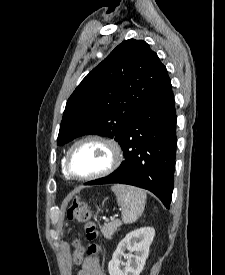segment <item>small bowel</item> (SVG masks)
<instances>
[{
	"instance_id": "1",
	"label": "small bowel",
	"mask_w": 225,
	"mask_h": 275,
	"mask_svg": "<svg viewBox=\"0 0 225 275\" xmlns=\"http://www.w3.org/2000/svg\"><path fill=\"white\" fill-rule=\"evenodd\" d=\"M77 275H106L100 267L98 260L94 257L84 259L81 269Z\"/></svg>"
}]
</instances>
